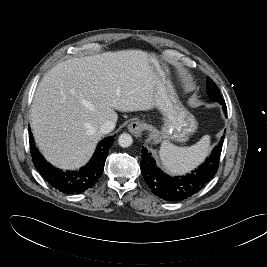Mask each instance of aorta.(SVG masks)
<instances>
[{
  "mask_svg": "<svg viewBox=\"0 0 267 267\" xmlns=\"http://www.w3.org/2000/svg\"><path fill=\"white\" fill-rule=\"evenodd\" d=\"M118 143L123 148H128L133 144V138L128 133H122L118 138Z\"/></svg>",
  "mask_w": 267,
  "mask_h": 267,
  "instance_id": "aorta-1",
  "label": "aorta"
}]
</instances>
